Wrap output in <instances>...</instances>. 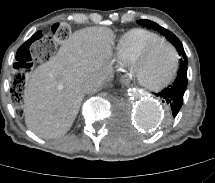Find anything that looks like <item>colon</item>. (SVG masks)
Here are the masks:
<instances>
[{
	"label": "colon",
	"mask_w": 215,
	"mask_h": 183,
	"mask_svg": "<svg viewBox=\"0 0 215 183\" xmlns=\"http://www.w3.org/2000/svg\"><path fill=\"white\" fill-rule=\"evenodd\" d=\"M71 32V26L65 22H58L52 25L51 34L46 35L43 30H36L31 37L26 38L15 47V58L7 61L8 71L11 77L13 91L11 99L13 112L16 115H23L26 112V104L22 101L25 98L23 90L26 74L35 62L49 60L55 53V41H65Z\"/></svg>",
	"instance_id": "5ec220e1"
}]
</instances>
